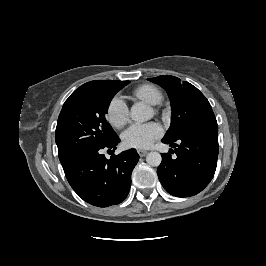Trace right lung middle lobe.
Masks as SVG:
<instances>
[{
  "label": "right lung middle lobe",
  "mask_w": 266,
  "mask_h": 266,
  "mask_svg": "<svg viewBox=\"0 0 266 266\" xmlns=\"http://www.w3.org/2000/svg\"><path fill=\"white\" fill-rule=\"evenodd\" d=\"M129 83L101 80L69 96L62 107L55 131L62 166L80 154L107 145L117 137L105 114L114 95Z\"/></svg>",
  "instance_id": "right-lung-middle-lobe-1"
}]
</instances>
